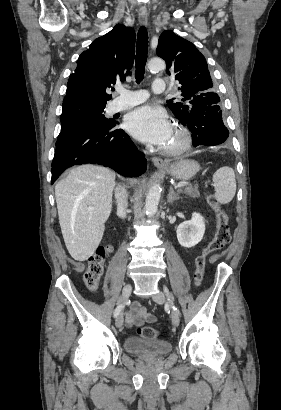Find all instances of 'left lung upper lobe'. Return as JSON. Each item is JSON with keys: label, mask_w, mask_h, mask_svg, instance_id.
Returning a JSON list of instances; mask_svg holds the SVG:
<instances>
[{"label": "left lung upper lobe", "mask_w": 281, "mask_h": 410, "mask_svg": "<svg viewBox=\"0 0 281 410\" xmlns=\"http://www.w3.org/2000/svg\"><path fill=\"white\" fill-rule=\"evenodd\" d=\"M156 53L165 60L167 75L181 84L182 99L167 101L181 124L194 105L219 104L206 59L191 42L167 30L160 35Z\"/></svg>", "instance_id": "5c2ea615"}]
</instances>
